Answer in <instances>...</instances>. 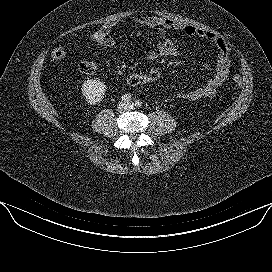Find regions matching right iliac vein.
Returning a JSON list of instances; mask_svg holds the SVG:
<instances>
[{
	"instance_id": "obj_1",
	"label": "right iliac vein",
	"mask_w": 272,
	"mask_h": 272,
	"mask_svg": "<svg viewBox=\"0 0 272 272\" xmlns=\"http://www.w3.org/2000/svg\"><path fill=\"white\" fill-rule=\"evenodd\" d=\"M127 109V104L125 102H120L117 106L119 112H124Z\"/></svg>"
}]
</instances>
